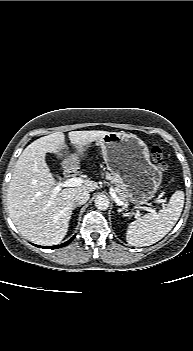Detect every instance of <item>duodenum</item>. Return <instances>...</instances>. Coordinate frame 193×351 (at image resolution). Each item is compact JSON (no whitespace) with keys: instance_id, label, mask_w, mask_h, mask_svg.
Listing matches in <instances>:
<instances>
[{"instance_id":"obj_1","label":"duodenum","mask_w":193,"mask_h":351,"mask_svg":"<svg viewBox=\"0 0 193 351\" xmlns=\"http://www.w3.org/2000/svg\"><path fill=\"white\" fill-rule=\"evenodd\" d=\"M65 168H66L65 172L69 176H76L79 173V171L76 168V166L67 165Z\"/></svg>"}]
</instances>
